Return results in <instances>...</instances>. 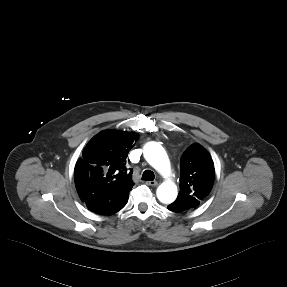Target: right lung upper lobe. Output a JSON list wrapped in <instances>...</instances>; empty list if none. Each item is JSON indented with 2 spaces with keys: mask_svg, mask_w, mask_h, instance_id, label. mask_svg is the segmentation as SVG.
I'll use <instances>...</instances> for the list:
<instances>
[{
  "mask_svg": "<svg viewBox=\"0 0 287 287\" xmlns=\"http://www.w3.org/2000/svg\"><path fill=\"white\" fill-rule=\"evenodd\" d=\"M137 140L138 134L134 132L105 130L88 142L74 169L75 185L82 201L94 191L116 187L131 190L132 172L127 173L125 164Z\"/></svg>",
  "mask_w": 287,
  "mask_h": 287,
  "instance_id": "obj_1",
  "label": "right lung upper lobe"
}]
</instances>
